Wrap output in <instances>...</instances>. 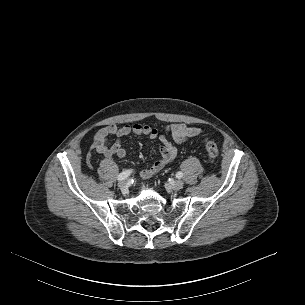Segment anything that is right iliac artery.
<instances>
[{
	"mask_svg": "<svg viewBox=\"0 0 305 305\" xmlns=\"http://www.w3.org/2000/svg\"><path fill=\"white\" fill-rule=\"evenodd\" d=\"M131 173H132V170H125L117 176V180L122 181V180L126 179L128 176H130Z\"/></svg>",
	"mask_w": 305,
	"mask_h": 305,
	"instance_id": "right-iliac-artery-1",
	"label": "right iliac artery"
}]
</instances>
